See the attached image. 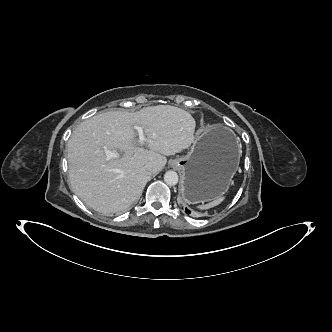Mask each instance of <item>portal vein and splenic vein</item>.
Returning <instances> with one entry per match:
<instances>
[{"mask_svg":"<svg viewBox=\"0 0 332 332\" xmlns=\"http://www.w3.org/2000/svg\"><path fill=\"white\" fill-rule=\"evenodd\" d=\"M136 130L138 131V135H139V144L142 145L145 141H146V137L144 135L143 132V128L140 126H136ZM106 157L107 159H112V158H118L119 157V153L117 151H110V150H106L105 151Z\"/></svg>","mask_w":332,"mask_h":332,"instance_id":"obj_1","label":"portal vein and splenic vein"}]
</instances>
